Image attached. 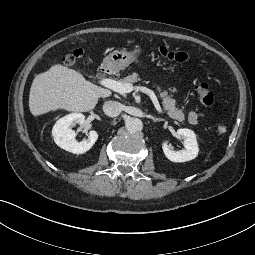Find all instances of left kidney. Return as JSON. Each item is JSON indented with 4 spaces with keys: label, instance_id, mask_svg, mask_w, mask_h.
<instances>
[{
    "label": "left kidney",
    "instance_id": "left-kidney-1",
    "mask_svg": "<svg viewBox=\"0 0 255 255\" xmlns=\"http://www.w3.org/2000/svg\"><path fill=\"white\" fill-rule=\"evenodd\" d=\"M177 134L181 137L185 150L175 151L170 148L169 142L162 143V149L165 156L172 162H186L197 157L199 152L195 133L190 129H178Z\"/></svg>",
    "mask_w": 255,
    "mask_h": 255
}]
</instances>
